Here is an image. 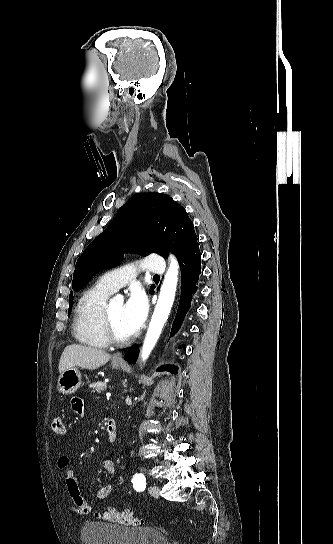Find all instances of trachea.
I'll use <instances>...</instances> for the list:
<instances>
[{"instance_id": "3493384b", "label": "trachea", "mask_w": 333, "mask_h": 544, "mask_svg": "<svg viewBox=\"0 0 333 544\" xmlns=\"http://www.w3.org/2000/svg\"><path fill=\"white\" fill-rule=\"evenodd\" d=\"M154 278H159V276H158V275H154Z\"/></svg>"}]
</instances>
